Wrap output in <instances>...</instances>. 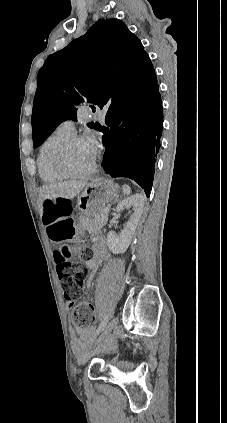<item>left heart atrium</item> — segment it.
Instances as JSON below:
<instances>
[{"mask_svg":"<svg viewBox=\"0 0 227 423\" xmlns=\"http://www.w3.org/2000/svg\"><path fill=\"white\" fill-rule=\"evenodd\" d=\"M87 145L91 149L94 157L96 158V155L98 153V150L100 148V139L97 134H93L87 141Z\"/></svg>","mask_w":227,"mask_h":423,"instance_id":"39dd6f15","label":"left heart atrium"}]
</instances>
